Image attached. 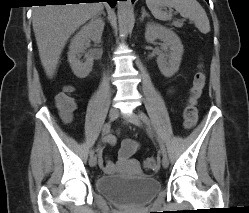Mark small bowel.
Wrapping results in <instances>:
<instances>
[{
  "label": "small bowel",
  "instance_id": "1",
  "mask_svg": "<svg viewBox=\"0 0 249 213\" xmlns=\"http://www.w3.org/2000/svg\"><path fill=\"white\" fill-rule=\"evenodd\" d=\"M103 142L113 146L116 143V139L114 136L109 135L104 138ZM138 148L139 143L136 140L124 139L118 153V161L121 163L127 161L137 152ZM98 164L105 173H112L116 169L115 163L110 158L104 156L103 148L101 146L98 149Z\"/></svg>",
  "mask_w": 249,
  "mask_h": 213
}]
</instances>
